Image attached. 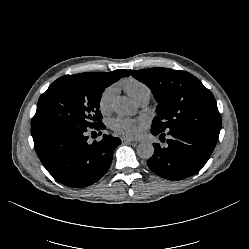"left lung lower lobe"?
I'll list each match as a JSON object with an SVG mask.
<instances>
[{"label":"left lung lower lobe","mask_w":249,"mask_h":249,"mask_svg":"<svg viewBox=\"0 0 249 249\" xmlns=\"http://www.w3.org/2000/svg\"><path fill=\"white\" fill-rule=\"evenodd\" d=\"M165 145L154 143L155 151L148 159V167L158 176L168 180H182L196 174L212 154L220 129L203 126H181L170 129ZM153 135H160L164 143L165 133L151 128Z\"/></svg>","instance_id":"obj_1"}]
</instances>
